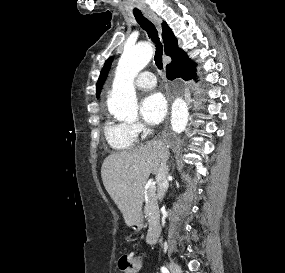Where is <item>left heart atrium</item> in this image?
Segmentation results:
<instances>
[{
	"instance_id": "1",
	"label": "left heart atrium",
	"mask_w": 285,
	"mask_h": 273,
	"mask_svg": "<svg viewBox=\"0 0 285 273\" xmlns=\"http://www.w3.org/2000/svg\"><path fill=\"white\" fill-rule=\"evenodd\" d=\"M167 112V103L164 96L159 92L147 95L140 104L142 118L148 124L160 123Z\"/></svg>"
}]
</instances>
